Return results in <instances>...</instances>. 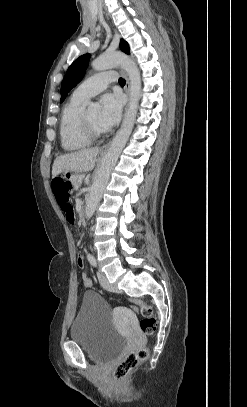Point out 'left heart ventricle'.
<instances>
[{"label":"left heart ventricle","instance_id":"left-heart-ventricle-1","mask_svg":"<svg viewBox=\"0 0 247 407\" xmlns=\"http://www.w3.org/2000/svg\"><path fill=\"white\" fill-rule=\"evenodd\" d=\"M85 115L93 127L99 130L104 129L99 123V110H88L85 112Z\"/></svg>","mask_w":247,"mask_h":407}]
</instances>
